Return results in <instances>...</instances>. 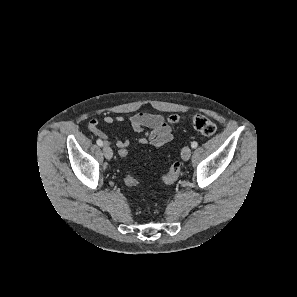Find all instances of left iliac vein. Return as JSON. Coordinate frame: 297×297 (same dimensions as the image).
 <instances>
[{
    "mask_svg": "<svg viewBox=\"0 0 297 297\" xmlns=\"http://www.w3.org/2000/svg\"><path fill=\"white\" fill-rule=\"evenodd\" d=\"M191 156V149L189 146H185L183 149H182V152H181V157L184 161H188L189 158Z\"/></svg>",
    "mask_w": 297,
    "mask_h": 297,
    "instance_id": "4c4485c4",
    "label": "left iliac vein"
}]
</instances>
